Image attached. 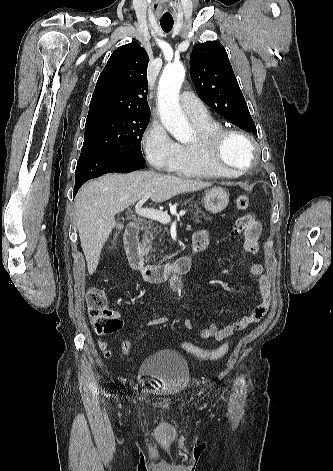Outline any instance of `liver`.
<instances>
[{
	"label": "liver",
	"instance_id": "6515ba94",
	"mask_svg": "<svg viewBox=\"0 0 333 471\" xmlns=\"http://www.w3.org/2000/svg\"><path fill=\"white\" fill-rule=\"evenodd\" d=\"M210 183L153 171L110 173L86 183L75 199L76 225L88 273L98 265L101 250L116 225L115 215L129 208L148 192L151 200L164 202L178 194L198 191Z\"/></svg>",
	"mask_w": 333,
	"mask_h": 471
}]
</instances>
